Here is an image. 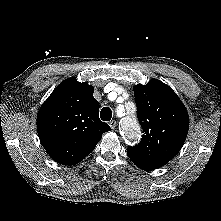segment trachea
Returning a JSON list of instances; mask_svg holds the SVG:
<instances>
[{"label":"trachea","instance_id":"trachea-1","mask_svg":"<svg viewBox=\"0 0 221 221\" xmlns=\"http://www.w3.org/2000/svg\"><path fill=\"white\" fill-rule=\"evenodd\" d=\"M100 117L103 121H110L112 118V110L109 107L102 108Z\"/></svg>","mask_w":221,"mask_h":221}]
</instances>
